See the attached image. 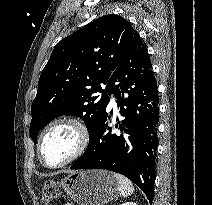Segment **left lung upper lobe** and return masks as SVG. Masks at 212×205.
Segmentation results:
<instances>
[{"label": "left lung upper lobe", "instance_id": "left-lung-upper-lobe-1", "mask_svg": "<svg viewBox=\"0 0 212 205\" xmlns=\"http://www.w3.org/2000/svg\"><path fill=\"white\" fill-rule=\"evenodd\" d=\"M136 33L126 19L110 14L56 45L31 107L30 134L35 144L39 130L61 115L79 116L91 135L110 100L108 80Z\"/></svg>", "mask_w": 212, "mask_h": 205}]
</instances>
